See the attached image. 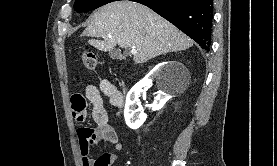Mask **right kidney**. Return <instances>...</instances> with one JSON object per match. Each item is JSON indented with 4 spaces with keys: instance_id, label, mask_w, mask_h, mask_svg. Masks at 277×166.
Listing matches in <instances>:
<instances>
[{
    "instance_id": "obj_1",
    "label": "right kidney",
    "mask_w": 277,
    "mask_h": 166,
    "mask_svg": "<svg viewBox=\"0 0 277 166\" xmlns=\"http://www.w3.org/2000/svg\"><path fill=\"white\" fill-rule=\"evenodd\" d=\"M170 64H175L177 69L180 68V64L170 62ZM167 65H158L153 68L140 82H138L127 94L126 104L124 110L125 122L131 129H138L142 123L146 120V114L143 111L141 106V102L138 97L143 87H148L152 84V80L154 78H160L164 74V70ZM172 82L170 80H166L163 88L170 87ZM171 98L168 93L164 91H158L157 96L152 104V110H160L165 103Z\"/></svg>"
}]
</instances>
